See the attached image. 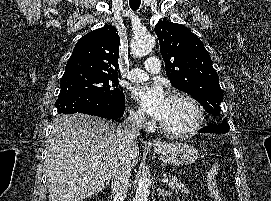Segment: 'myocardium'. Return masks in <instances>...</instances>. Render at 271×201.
Returning a JSON list of instances; mask_svg holds the SVG:
<instances>
[{
	"label": "myocardium",
	"mask_w": 271,
	"mask_h": 201,
	"mask_svg": "<svg viewBox=\"0 0 271 201\" xmlns=\"http://www.w3.org/2000/svg\"><path fill=\"white\" fill-rule=\"evenodd\" d=\"M169 99H179L188 103L192 109L194 110L195 119L194 121L187 127L183 129H170L165 127L161 122L159 123V129L162 133L170 136H185L191 134L198 130L205 120V112L202 105L199 101L194 98L192 95L182 92V91H174L170 94Z\"/></svg>",
	"instance_id": "1"
}]
</instances>
